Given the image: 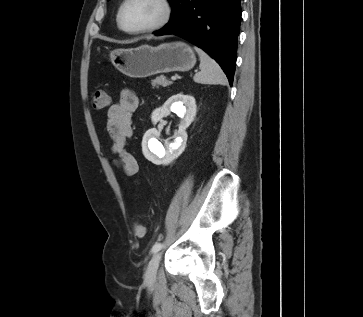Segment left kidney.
I'll list each match as a JSON object with an SVG mask.
<instances>
[{"instance_id":"left-kidney-1","label":"left kidney","mask_w":363,"mask_h":317,"mask_svg":"<svg viewBox=\"0 0 363 317\" xmlns=\"http://www.w3.org/2000/svg\"><path fill=\"white\" fill-rule=\"evenodd\" d=\"M174 112L181 118L176 138L170 143L165 141L166 149L157 140L160 136L155 128L149 129L142 141L145 158L156 165H168L185 150L187 142L186 129L196 116V102L193 96L179 93L171 96L162 107L155 109L151 115L153 124Z\"/></svg>"}]
</instances>
